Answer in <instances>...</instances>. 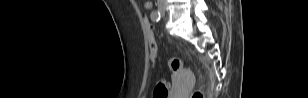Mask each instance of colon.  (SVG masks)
Listing matches in <instances>:
<instances>
[{"label":"colon","mask_w":308,"mask_h":98,"mask_svg":"<svg viewBox=\"0 0 308 98\" xmlns=\"http://www.w3.org/2000/svg\"><path fill=\"white\" fill-rule=\"evenodd\" d=\"M142 16L148 15L147 9L141 10ZM147 19V18H146ZM145 31H148V43H149V50L150 56L152 60H155L157 56V44L154 36V24H145ZM168 65L170 70L173 72L181 71L184 68V62L177 57L170 58L168 61ZM169 94V84L166 82H159L154 90V98H167ZM191 98H204V94L201 91H194L191 95Z\"/></svg>","instance_id":"1"}]
</instances>
